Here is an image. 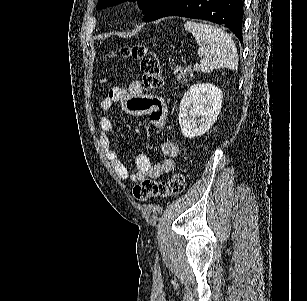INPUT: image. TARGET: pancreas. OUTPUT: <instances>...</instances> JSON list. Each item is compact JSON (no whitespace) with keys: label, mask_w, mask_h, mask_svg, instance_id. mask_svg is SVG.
I'll list each match as a JSON object with an SVG mask.
<instances>
[{"label":"pancreas","mask_w":307,"mask_h":301,"mask_svg":"<svg viewBox=\"0 0 307 301\" xmlns=\"http://www.w3.org/2000/svg\"><path fill=\"white\" fill-rule=\"evenodd\" d=\"M194 72L193 70H190V68H185V70H179L177 72V80L178 82H182V84H186L188 82L189 76H193Z\"/></svg>","instance_id":"1"}]
</instances>
